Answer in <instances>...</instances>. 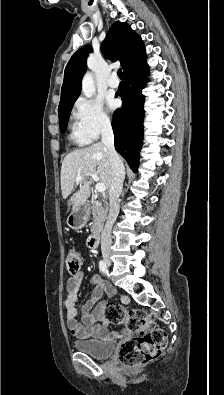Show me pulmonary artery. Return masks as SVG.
<instances>
[{
    "label": "pulmonary artery",
    "mask_w": 224,
    "mask_h": 395,
    "mask_svg": "<svg viewBox=\"0 0 224 395\" xmlns=\"http://www.w3.org/2000/svg\"><path fill=\"white\" fill-rule=\"evenodd\" d=\"M107 85L110 88H117L119 86V80L117 77L113 74L107 79Z\"/></svg>",
    "instance_id": "pulmonary-artery-1"
}]
</instances>
